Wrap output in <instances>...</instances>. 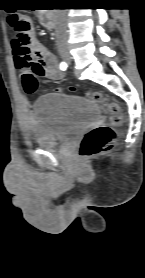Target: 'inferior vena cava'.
Masks as SVG:
<instances>
[{"label": "inferior vena cava", "mask_w": 145, "mask_h": 278, "mask_svg": "<svg viewBox=\"0 0 145 278\" xmlns=\"http://www.w3.org/2000/svg\"><path fill=\"white\" fill-rule=\"evenodd\" d=\"M67 35L66 14L64 10H58L56 27L57 43H65L67 41Z\"/></svg>", "instance_id": "602c4592"}]
</instances>
